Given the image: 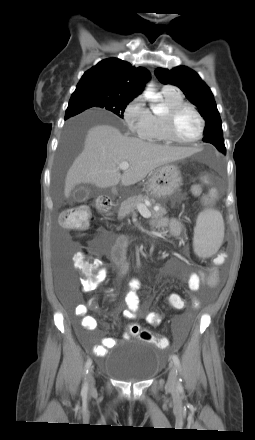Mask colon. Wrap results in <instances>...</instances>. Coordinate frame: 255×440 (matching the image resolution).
Segmentation results:
<instances>
[{"mask_svg": "<svg viewBox=\"0 0 255 440\" xmlns=\"http://www.w3.org/2000/svg\"><path fill=\"white\" fill-rule=\"evenodd\" d=\"M194 192L199 194L201 187L196 186ZM91 219L92 213L90 207L88 205H79L64 210L59 217V222L64 228L80 231L88 228ZM74 265L83 275L82 287L88 290L93 289L101 266L89 259L87 251H81L76 254ZM166 303L171 311H185L187 300L185 298H167ZM129 331L140 340L152 343L153 346H160L161 348L169 347L170 343L165 334L157 335L138 324H131Z\"/></svg>", "mask_w": 255, "mask_h": 440, "instance_id": "colon-1", "label": "colon"}]
</instances>
